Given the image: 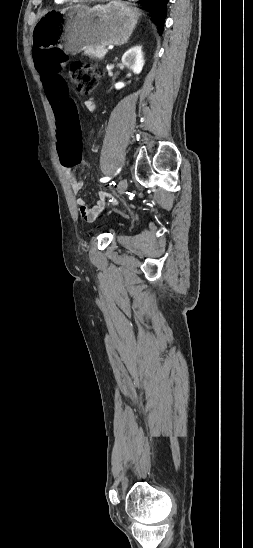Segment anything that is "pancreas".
<instances>
[{"label": "pancreas", "instance_id": "pancreas-1", "mask_svg": "<svg viewBox=\"0 0 253 548\" xmlns=\"http://www.w3.org/2000/svg\"><path fill=\"white\" fill-rule=\"evenodd\" d=\"M107 50L103 47H86L84 48V54L92 58L103 59Z\"/></svg>", "mask_w": 253, "mask_h": 548}]
</instances>
